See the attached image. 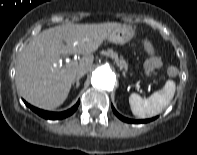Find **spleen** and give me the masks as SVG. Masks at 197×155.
I'll use <instances>...</instances> for the list:
<instances>
[{
  "mask_svg": "<svg viewBox=\"0 0 197 155\" xmlns=\"http://www.w3.org/2000/svg\"><path fill=\"white\" fill-rule=\"evenodd\" d=\"M175 90V82L168 80L161 90L154 92L149 98L143 99L140 95L132 93L129 96L132 113L138 118L153 117L161 113L173 99Z\"/></svg>",
  "mask_w": 197,
  "mask_h": 155,
  "instance_id": "spleen-1",
  "label": "spleen"
}]
</instances>
